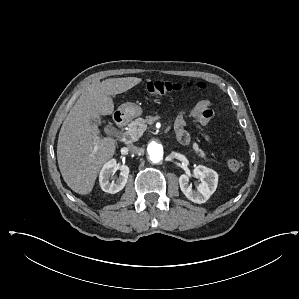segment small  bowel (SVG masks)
Instances as JSON below:
<instances>
[{
	"instance_id": "obj_1",
	"label": "small bowel",
	"mask_w": 299,
	"mask_h": 299,
	"mask_svg": "<svg viewBox=\"0 0 299 299\" xmlns=\"http://www.w3.org/2000/svg\"><path fill=\"white\" fill-rule=\"evenodd\" d=\"M190 116L200 125H207L213 118L214 112L212 109V103L208 99H203L195 103L190 108ZM186 120L180 113L175 120V132L177 140L181 144H187L190 141L189 133L185 129ZM207 140H210L209 136H206Z\"/></svg>"
}]
</instances>
